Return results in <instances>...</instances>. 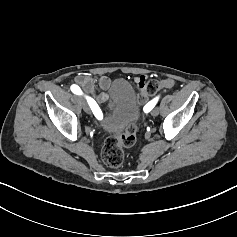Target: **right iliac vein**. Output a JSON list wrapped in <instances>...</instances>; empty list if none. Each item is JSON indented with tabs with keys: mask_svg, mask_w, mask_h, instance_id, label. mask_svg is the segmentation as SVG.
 Listing matches in <instances>:
<instances>
[{
	"mask_svg": "<svg viewBox=\"0 0 237 237\" xmlns=\"http://www.w3.org/2000/svg\"><path fill=\"white\" fill-rule=\"evenodd\" d=\"M81 103H82L83 110L89 114L91 111H90V107L87 101L84 98H81Z\"/></svg>",
	"mask_w": 237,
	"mask_h": 237,
	"instance_id": "obj_1",
	"label": "right iliac vein"
}]
</instances>
